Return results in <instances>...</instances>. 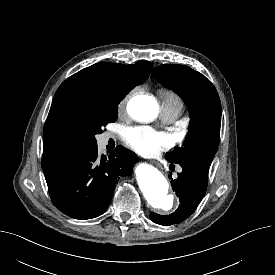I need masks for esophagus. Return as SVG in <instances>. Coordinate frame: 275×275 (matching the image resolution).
I'll list each match as a JSON object with an SVG mask.
<instances>
[{
    "mask_svg": "<svg viewBox=\"0 0 275 275\" xmlns=\"http://www.w3.org/2000/svg\"><path fill=\"white\" fill-rule=\"evenodd\" d=\"M154 164H158L156 161H153Z\"/></svg>",
    "mask_w": 275,
    "mask_h": 275,
    "instance_id": "1",
    "label": "esophagus"
}]
</instances>
